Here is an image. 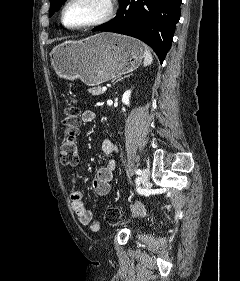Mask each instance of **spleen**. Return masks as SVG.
Wrapping results in <instances>:
<instances>
[{
	"label": "spleen",
	"mask_w": 240,
	"mask_h": 281,
	"mask_svg": "<svg viewBox=\"0 0 240 281\" xmlns=\"http://www.w3.org/2000/svg\"><path fill=\"white\" fill-rule=\"evenodd\" d=\"M153 62V56L151 54V51L149 50L148 47H145V51H144V66H149L151 65Z\"/></svg>",
	"instance_id": "3e777b00"
}]
</instances>
